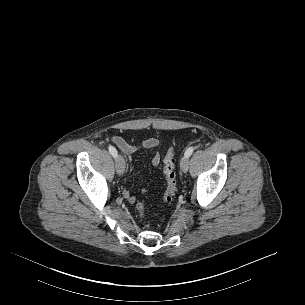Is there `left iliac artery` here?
<instances>
[{
    "instance_id": "1",
    "label": "left iliac artery",
    "mask_w": 305,
    "mask_h": 305,
    "mask_svg": "<svg viewBox=\"0 0 305 305\" xmlns=\"http://www.w3.org/2000/svg\"><path fill=\"white\" fill-rule=\"evenodd\" d=\"M193 151H194V147H189V148L185 151L184 156L190 157L191 154L193 153Z\"/></svg>"
}]
</instances>
